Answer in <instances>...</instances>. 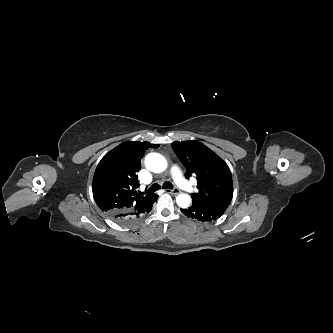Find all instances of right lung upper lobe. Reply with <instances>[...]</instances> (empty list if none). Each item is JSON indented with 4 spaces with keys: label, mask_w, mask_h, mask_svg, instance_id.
<instances>
[{
    "label": "right lung upper lobe",
    "mask_w": 333,
    "mask_h": 333,
    "mask_svg": "<svg viewBox=\"0 0 333 333\" xmlns=\"http://www.w3.org/2000/svg\"><path fill=\"white\" fill-rule=\"evenodd\" d=\"M152 147L158 148L159 145L126 141L101 159L94 173L92 191L96 204L103 212L134 209L156 196H141L136 192L141 158Z\"/></svg>",
    "instance_id": "obj_1"
}]
</instances>
